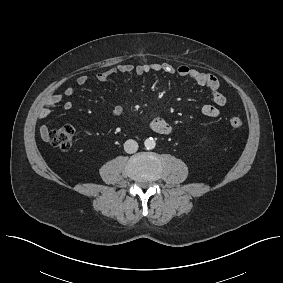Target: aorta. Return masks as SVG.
<instances>
[{"label":"aorta","mask_w":283,"mask_h":283,"mask_svg":"<svg viewBox=\"0 0 283 283\" xmlns=\"http://www.w3.org/2000/svg\"><path fill=\"white\" fill-rule=\"evenodd\" d=\"M156 145V142L153 138H148L144 142V146L146 149H154Z\"/></svg>","instance_id":"1"}]
</instances>
